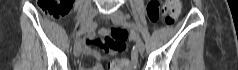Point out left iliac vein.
<instances>
[{"label": "left iliac vein", "mask_w": 238, "mask_h": 70, "mask_svg": "<svg viewBox=\"0 0 238 70\" xmlns=\"http://www.w3.org/2000/svg\"><path fill=\"white\" fill-rule=\"evenodd\" d=\"M110 18L113 21V23H115L117 25H122V26L127 25L126 22L128 20V16L125 15L121 10L115 11L113 14H111ZM132 37L135 41V47H136L137 51L142 53L144 51V43H143L142 39L133 30H132Z\"/></svg>", "instance_id": "1"}]
</instances>
